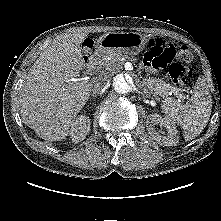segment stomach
Masks as SVG:
<instances>
[{
  "instance_id": "0dacf381",
  "label": "stomach",
  "mask_w": 221,
  "mask_h": 221,
  "mask_svg": "<svg viewBox=\"0 0 221 221\" xmlns=\"http://www.w3.org/2000/svg\"><path fill=\"white\" fill-rule=\"evenodd\" d=\"M149 42V37L137 32H110L97 41L98 51L102 54H138Z\"/></svg>"
}]
</instances>
